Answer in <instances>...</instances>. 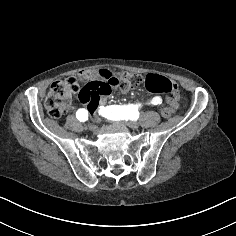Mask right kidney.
Here are the masks:
<instances>
[{"instance_id":"1","label":"right kidney","mask_w":236,"mask_h":236,"mask_svg":"<svg viewBox=\"0 0 236 236\" xmlns=\"http://www.w3.org/2000/svg\"><path fill=\"white\" fill-rule=\"evenodd\" d=\"M64 99H65V100H70V99H72V97H71L69 94H66V95L64 96Z\"/></svg>"}]
</instances>
